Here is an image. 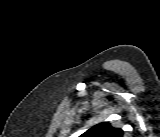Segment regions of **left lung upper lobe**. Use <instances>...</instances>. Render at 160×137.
Instances as JSON below:
<instances>
[{
  "label": "left lung upper lobe",
  "mask_w": 160,
  "mask_h": 137,
  "mask_svg": "<svg viewBox=\"0 0 160 137\" xmlns=\"http://www.w3.org/2000/svg\"><path fill=\"white\" fill-rule=\"evenodd\" d=\"M123 131L120 128L112 127L109 122L99 123L85 133L81 137H122Z\"/></svg>",
  "instance_id": "left-lung-upper-lobe-1"
}]
</instances>
